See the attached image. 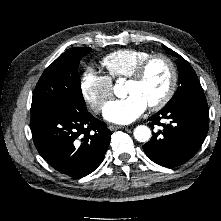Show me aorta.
I'll return each mask as SVG.
<instances>
[{
    "instance_id": "obj_1",
    "label": "aorta",
    "mask_w": 221,
    "mask_h": 221,
    "mask_svg": "<svg viewBox=\"0 0 221 221\" xmlns=\"http://www.w3.org/2000/svg\"><path fill=\"white\" fill-rule=\"evenodd\" d=\"M124 91L121 84H116L114 86V92L119 95ZM134 137L139 142H147L151 137V130L145 125H139L134 129Z\"/></svg>"
}]
</instances>
